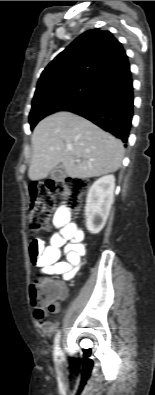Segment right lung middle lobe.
I'll list each match as a JSON object with an SVG mask.
<instances>
[{"label":"right lung middle lobe","instance_id":"dd1d6c3e","mask_svg":"<svg viewBox=\"0 0 155 395\" xmlns=\"http://www.w3.org/2000/svg\"><path fill=\"white\" fill-rule=\"evenodd\" d=\"M100 83L92 80H74L36 92L29 115L31 129L46 116L79 102L95 91Z\"/></svg>","mask_w":155,"mask_h":395}]
</instances>
